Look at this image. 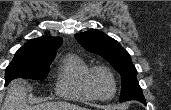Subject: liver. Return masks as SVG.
Returning <instances> with one entry per match:
<instances>
[{
	"label": "liver",
	"mask_w": 171,
	"mask_h": 110,
	"mask_svg": "<svg viewBox=\"0 0 171 110\" xmlns=\"http://www.w3.org/2000/svg\"><path fill=\"white\" fill-rule=\"evenodd\" d=\"M26 96L25 81L23 79L14 80L8 90L2 110H85V108L66 102H46L29 106Z\"/></svg>",
	"instance_id": "6515ba94"
}]
</instances>
